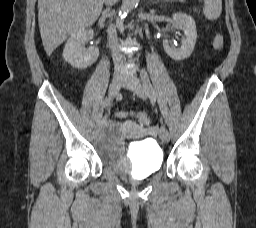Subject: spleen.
<instances>
[{
    "instance_id": "obj_1",
    "label": "spleen",
    "mask_w": 256,
    "mask_h": 228,
    "mask_svg": "<svg viewBox=\"0 0 256 228\" xmlns=\"http://www.w3.org/2000/svg\"><path fill=\"white\" fill-rule=\"evenodd\" d=\"M222 12V0H204L203 13L207 20H216Z\"/></svg>"
}]
</instances>
